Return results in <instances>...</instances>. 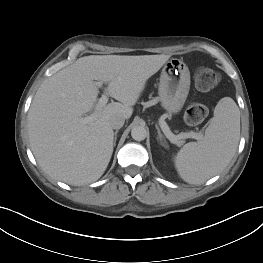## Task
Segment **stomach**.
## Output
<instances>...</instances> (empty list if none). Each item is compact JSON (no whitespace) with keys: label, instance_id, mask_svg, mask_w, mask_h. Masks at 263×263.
I'll use <instances>...</instances> for the list:
<instances>
[{"label":"stomach","instance_id":"0dacf381","mask_svg":"<svg viewBox=\"0 0 263 263\" xmlns=\"http://www.w3.org/2000/svg\"><path fill=\"white\" fill-rule=\"evenodd\" d=\"M190 90V72L186 64L176 58L167 61L162 69L159 83V99L170 114L178 113Z\"/></svg>","mask_w":263,"mask_h":263}]
</instances>
